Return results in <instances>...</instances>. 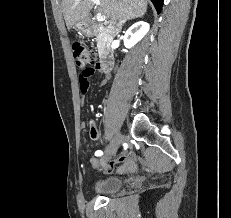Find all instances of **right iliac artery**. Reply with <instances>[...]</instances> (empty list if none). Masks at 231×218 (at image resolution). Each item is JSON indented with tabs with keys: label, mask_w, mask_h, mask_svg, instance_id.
<instances>
[{
	"label": "right iliac artery",
	"mask_w": 231,
	"mask_h": 218,
	"mask_svg": "<svg viewBox=\"0 0 231 218\" xmlns=\"http://www.w3.org/2000/svg\"><path fill=\"white\" fill-rule=\"evenodd\" d=\"M102 154H103V152L101 150H98V151L95 152L96 156H101Z\"/></svg>",
	"instance_id": "right-iliac-artery-1"
}]
</instances>
